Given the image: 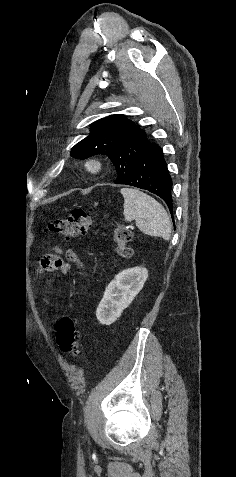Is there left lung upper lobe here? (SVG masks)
I'll list each match as a JSON object with an SVG mask.
<instances>
[{
  "label": "left lung upper lobe",
  "instance_id": "1",
  "mask_svg": "<svg viewBox=\"0 0 236 477\" xmlns=\"http://www.w3.org/2000/svg\"><path fill=\"white\" fill-rule=\"evenodd\" d=\"M150 145L143 130L124 115L116 114L94 122L91 134L72 148L71 156L86 159L97 154L107 155L116 168L118 184L127 177L134 160Z\"/></svg>",
  "mask_w": 236,
  "mask_h": 477
}]
</instances>
